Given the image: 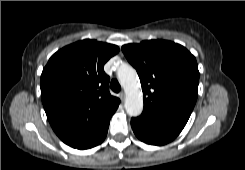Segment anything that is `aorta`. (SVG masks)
Segmentation results:
<instances>
[{"instance_id":"1","label":"aorta","mask_w":245,"mask_h":170,"mask_svg":"<svg viewBox=\"0 0 245 170\" xmlns=\"http://www.w3.org/2000/svg\"><path fill=\"white\" fill-rule=\"evenodd\" d=\"M121 86L125 91L124 107L129 116H139L143 110V96L135 69L122 64L117 71Z\"/></svg>"}]
</instances>
